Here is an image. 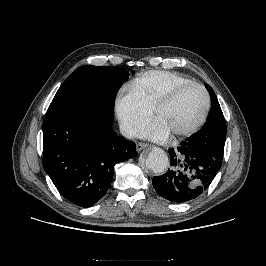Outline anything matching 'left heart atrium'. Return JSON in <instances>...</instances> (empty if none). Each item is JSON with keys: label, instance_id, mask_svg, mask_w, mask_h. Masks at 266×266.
I'll return each mask as SVG.
<instances>
[{"label": "left heart atrium", "instance_id": "left-heart-atrium-1", "mask_svg": "<svg viewBox=\"0 0 266 266\" xmlns=\"http://www.w3.org/2000/svg\"><path fill=\"white\" fill-rule=\"evenodd\" d=\"M139 135L153 140H164L170 135V132L160 121L155 120L152 124L143 128Z\"/></svg>", "mask_w": 266, "mask_h": 266}]
</instances>
